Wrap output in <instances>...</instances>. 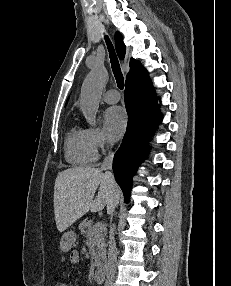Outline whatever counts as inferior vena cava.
Wrapping results in <instances>:
<instances>
[{
	"mask_svg": "<svg viewBox=\"0 0 231 286\" xmlns=\"http://www.w3.org/2000/svg\"><path fill=\"white\" fill-rule=\"evenodd\" d=\"M112 146V144H111ZM113 152H109L108 156L104 159L101 169L106 170L105 176L109 179L111 182L114 181V175L111 172L112 170V163H113ZM108 214H112L113 210L108 208L107 209ZM116 261H117V249H116V243L114 238L113 231L110 232L109 237V248H108V261L106 265V280L104 286H114V278H115V272H116Z\"/></svg>",
	"mask_w": 231,
	"mask_h": 286,
	"instance_id": "1",
	"label": "inferior vena cava"
}]
</instances>
